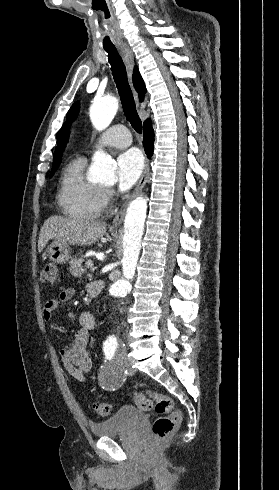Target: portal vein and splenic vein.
Masks as SVG:
<instances>
[{
    "label": "portal vein and splenic vein",
    "mask_w": 279,
    "mask_h": 490,
    "mask_svg": "<svg viewBox=\"0 0 279 490\" xmlns=\"http://www.w3.org/2000/svg\"><path fill=\"white\" fill-rule=\"evenodd\" d=\"M87 268H92L93 266V262H91V260H88V262H85Z\"/></svg>",
    "instance_id": "18ae733b"
}]
</instances>
